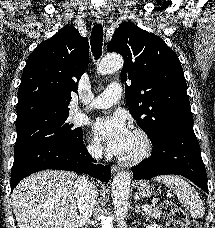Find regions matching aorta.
<instances>
[{"label": "aorta", "mask_w": 215, "mask_h": 228, "mask_svg": "<svg viewBox=\"0 0 215 228\" xmlns=\"http://www.w3.org/2000/svg\"><path fill=\"white\" fill-rule=\"evenodd\" d=\"M124 60L119 54H108L99 64L98 74H111L123 68ZM131 176L129 172H118L112 182V204L118 228H127L125 218L130 198Z\"/></svg>", "instance_id": "obj_1"}]
</instances>
